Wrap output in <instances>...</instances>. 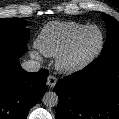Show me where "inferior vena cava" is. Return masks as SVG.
<instances>
[{
	"mask_svg": "<svg viewBox=\"0 0 119 119\" xmlns=\"http://www.w3.org/2000/svg\"><path fill=\"white\" fill-rule=\"evenodd\" d=\"M22 68L27 72H37L41 68V64L35 60H28L22 63Z\"/></svg>",
	"mask_w": 119,
	"mask_h": 119,
	"instance_id": "1",
	"label": "inferior vena cava"
}]
</instances>
